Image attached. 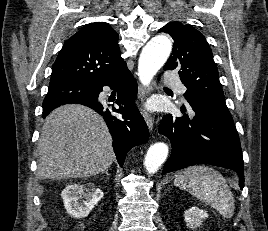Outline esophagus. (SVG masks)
<instances>
[{
	"label": "esophagus",
	"mask_w": 268,
	"mask_h": 231,
	"mask_svg": "<svg viewBox=\"0 0 268 231\" xmlns=\"http://www.w3.org/2000/svg\"><path fill=\"white\" fill-rule=\"evenodd\" d=\"M138 89H139L141 101L144 102L147 95L149 94L150 90H149V88L146 89V88L142 87L141 85H139ZM144 118H145V122L148 126V129L150 131H152V129L154 127V122H155L154 117L149 112L144 111Z\"/></svg>",
	"instance_id": "34e87169"
}]
</instances>
